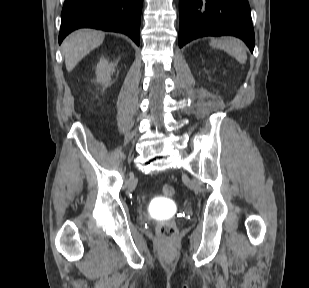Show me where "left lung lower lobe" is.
Listing matches in <instances>:
<instances>
[{
	"mask_svg": "<svg viewBox=\"0 0 309 288\" xmlns=\"http://www.w3.org/2000/svg\"><path fill=\"white\" fill-rule=\"evenodd\" d=\"M179 47L203 36L232 35L253 52L255 45L248 0H180Z\"/></svg>",
	"mask_w": 309,
	"mask_h": 288,
	"instance_id": "obj_1",
	"label": "left lung lower lobe"
}]
</instances>
